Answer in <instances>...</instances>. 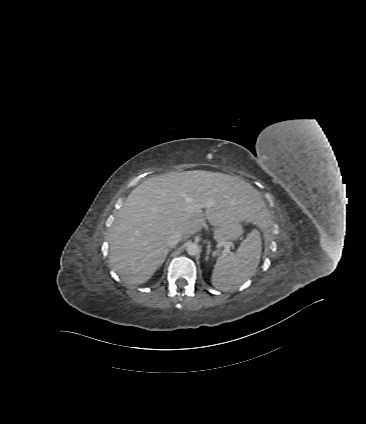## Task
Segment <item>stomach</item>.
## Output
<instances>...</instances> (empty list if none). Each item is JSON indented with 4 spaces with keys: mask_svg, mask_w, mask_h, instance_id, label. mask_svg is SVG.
Returning <instances> with one entry per match:
<instances>
[{
    "mask_svg": "<svg viewBox=\"0 0 366 424\" xmlns=\"http://www.w3.org/2000/svg\"><path fill=\"white\" fill-rule=\"evenodd\" d=\"M243 233L240 221H233L230 224L219 226L214 232V239L219 244H226L229 241L237 240Z\"/></svg>",
    "mask_w": 366,
    "mask_h": 424,
    "instance_id": "0dacf381",
    "label": "stomach"
}]
</instances>
